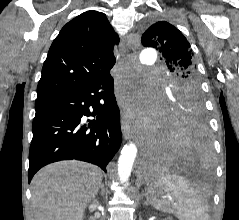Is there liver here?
<instances>
[{"label":"liver","instance_id":"1","mask_svg":"<svg viewBox=\"0 0 239 220\" xmlns=\"http://www.w3.org/2000/svg\"><path fill=\"white\" fill-rule=\"evenodd\" d=\"M101 181V170L88 163L69 160L45 166L31 182L35 220L83 218Z\"/></svg>","mask_w":239,"mask_h":220}]
</instances>
